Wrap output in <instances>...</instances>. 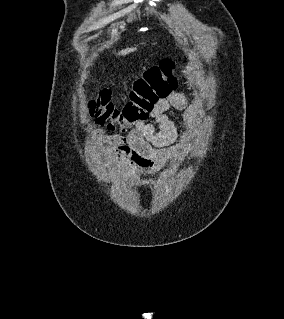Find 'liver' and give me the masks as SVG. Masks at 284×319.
I'll list each match as a JSON object with an SVG mask.
<instances>
[{
	"label": "liver",
	"instance_id": "obj_1",
	"mask_svg": "<svg viewBox=\"0 0 284 319\" xmlns=\"http://www.w3.org/2000/svg\"><path fill=\"white\" fill-rule=\"evenodd\" d=\"M134 51H136V47L126 48V49L121 50V51L118 53V55H119V56H125V55H127V54H129V53H131V52H134Z\"/></svg>",
	"mask_w": 284,
	"mask_h": 319
}]
</instances>
